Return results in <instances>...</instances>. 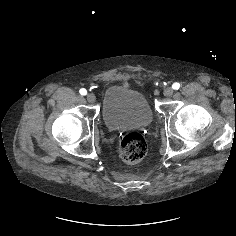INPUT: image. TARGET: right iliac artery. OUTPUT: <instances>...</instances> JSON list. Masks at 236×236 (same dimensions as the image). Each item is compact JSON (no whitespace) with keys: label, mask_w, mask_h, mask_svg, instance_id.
Masks as SVG:
<instances>
[{"label":"right iliac artery","mask_w":236,"mask_h":236,"mask_svg":"<svg viewBox=\"0 0 236 236\" xmlns=\"http://www.w3.org/2000/svg\"><path fill=\"white\" fill-rule=\"evenodd\" d=\"M79 92H80L81 95H86L87 94V90L84 89V88L80 89Z\"/></svg>","instance_id":"obj_1"}]
</instances>
